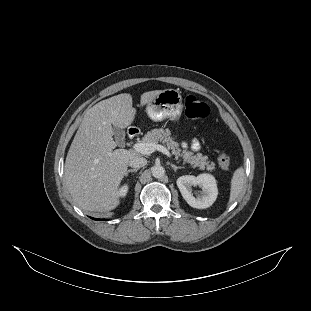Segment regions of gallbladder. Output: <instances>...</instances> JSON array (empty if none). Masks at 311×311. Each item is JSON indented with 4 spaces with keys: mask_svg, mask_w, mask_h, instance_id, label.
Returning a JSON list of instances; mask_svg holds the SVG:
<instances>
[{
    "mask_svg": "<svg viewBox=\"0 0 311 311\" xmlns=\"http://www.w3.org/2000/svg\"><path fill=\"white\" fill-rule=\"evenodd\" d=\"M113 132L117 145L123 147L125 145V131L120 128L114 127Z\"/></svg>",
    "mask_w": 311,
    "mask_h": 311,
    "instance_id": "gallbladder-1",
    "label": "gallbladder"
}]
</instances>
